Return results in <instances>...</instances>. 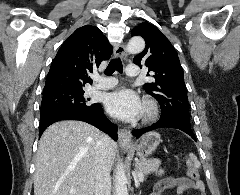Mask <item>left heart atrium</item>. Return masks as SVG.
Here are the masks:
<instances>
[{
	"label": "left heart atrium",
	"instance_id": "1",
	"mask_svg": "<svg viewBox=\"0 0 240 195\" xmlns=\"http://www.w3.org/2000/svg\"><path fill=\"white\" fill-rule=\"evenodd\" d=\"M106 106L116 117L124 121H133L141 114V102L136 92L118 89L107 96Z\"/></svg>",
	"mask_w": 240,
	"mask_h": 195
}]
</instances>
